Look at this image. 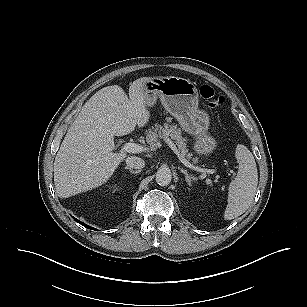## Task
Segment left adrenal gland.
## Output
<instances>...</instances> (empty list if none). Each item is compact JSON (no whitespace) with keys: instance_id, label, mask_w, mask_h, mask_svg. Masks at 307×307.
Masks as SVG:
<instances>
[{"instance_id":"a2214340","label":"left adrenal gland","mask_w":307,"mask_h":307,"mask_svg":"<svg viewBox=\"0 0 307 307\" xmlns=\"http://www.w3.org/2000/svg\"><path fill=\"white\" fill-rule=\"evenodd\" d=\"M181 172L185 175V180H186L187 184L190 186L191 182L193 180H195V177L193 175H189L187 173V170H184L183 168H181Z\"/></svg>"}]
</instances>
